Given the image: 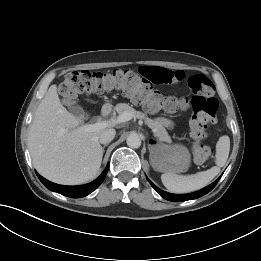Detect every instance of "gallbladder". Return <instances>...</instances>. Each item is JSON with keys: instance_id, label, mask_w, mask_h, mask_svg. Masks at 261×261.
I'll list each match as a JSON object with an SVG mask.
<instances>
[{"instance_id": "obj_1", "label": "gallbladder", "mask_w": 261, "mask_h": 261, "mask_svg": "<svg viewBox=\"0 0 261 261\" xmlns=\"http://www.w3.org/2000/svg\"><path fill=\"white\" fill-rule=\"evenodd\" d=\"M63 103L68 107V109L76 116H82L84 114L83 109L77 105L74 101L70 99H65Z\"/></svg>"}]
</instances>
